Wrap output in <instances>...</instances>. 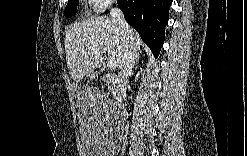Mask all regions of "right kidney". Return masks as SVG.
<instances>
[{
  "label": "right kidney",
  "mask_w": 247,
  "mask_h": 156,
  "mask_svg": "<svg viewBox=\"0 0 247 156\" xmlns=\"http://www.w3.org/2000/svg\"><path fill=\"white\" fill-rule=\"evenodd\" d=\"M142 71V70H141ZM140 76V72L137 73L136 77H135V81L138 80V77Z\"/></svg>",
  "instance_id": "1"
}]
</instances>
